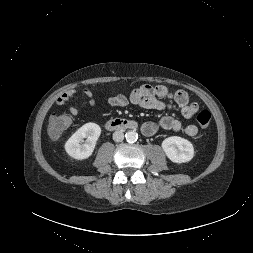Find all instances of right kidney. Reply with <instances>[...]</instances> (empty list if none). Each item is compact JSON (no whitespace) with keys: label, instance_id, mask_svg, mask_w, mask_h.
<instances>
[{"label":"right kidney","instance_id":"1","mask_svg":"<svg viewBox=\"0 0 253 253\" xmlns=\"http://www.w3.org/2000/svg\"><path fill=\"white\" fill-rule=\"evenodd\" d=\"M100 134L99 125L92 122L86 123L67 140L65 150L74 159H87L92 155ZM84 138H87L86 142L82 143Z\"/></svg>","mask_w":253,"mask_h":253}]
</instances>
